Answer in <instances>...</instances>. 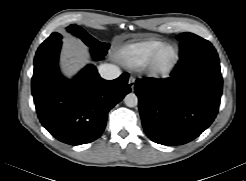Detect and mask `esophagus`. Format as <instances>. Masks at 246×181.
I'll use <instances>...</instances> for the list:
<instances>
[{
    "label": "esophagus",
    "instance_id": "esophagus-1",
    "mask_svg": "<svg viewBox=\"0 0 246 181\" xmlns=\"http://www.w3.org/2000/svg\"><path fill=\"white\" fill-rule=\"evenodd\" d=\"M134 83H135V78L131 76L128 80V84L130 85L132 90H134Z\"/></svg>",
    "mask_w": 246,
    "mask_h": 181
}]
</instances>
